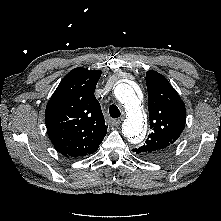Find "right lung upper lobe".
I'll return each instance as SVG.
<instances>
[{"instance_id": "obj_1", "label": "right lung upper lobe", "mask_w": 221, "mask_h": 221, "mask_svg": "<svg viewBox=\"0 0 221 221\" xmlns=\"http://www.w3.org/2000/svg\"><path fill=\"white\" fill-rule=\"evenodd\" d=\"M101 71L82 67L71 70L50 98L45 122L58 152L79 157L94 153L107 133L94 91Z\"/></svg>"}]
</instances>
